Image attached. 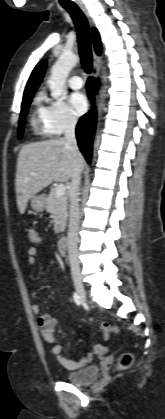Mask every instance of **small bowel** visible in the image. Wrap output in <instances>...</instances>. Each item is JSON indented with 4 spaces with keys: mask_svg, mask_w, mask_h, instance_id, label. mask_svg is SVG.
<instances>
[{
    "mask_svg": "<svg viewBox=\"0 0 165 419\" xmlns=\"http://www.w3.org/2000/svg\"><path fill=\"white\" fill-rule=\"evenodd\" d=\"M40 238L38 240L39 243ZM38 249L35 246H32L28 250V264L33 266L37 262ZM51 264H55V261H51ZM32 310L37 315L38 324L40 325L41 335L45 343L50 344L52 353L57 357L59 363L67 369L75 370L86 366L91 363L96 354L101 352L104 348L103 343H98L94 346L93 350L88 352L84 357H81L77 360H71L62 356V346L56 342L54 337V329L59 325L57 319L51 318L50 315L41 312V308L38 304L32 305ZM79 336L83 339H86L88 335L86 333H80Z\"/></svg>",
    "mask_w": 165,
    "mask_h": 419,
    "instance_id": "1",
    "label": "small bowel"
}]
</instances>
